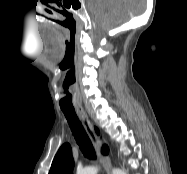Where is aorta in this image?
Instances as JSON below:
<instances>
[{"instance_id": "762f6f07", "label": "aorta", "mask_w": 187, "mask_h": 174, "mask_svg": "<svg viewBox=\"0 0 187 174\" xmlns=\"http://www.w3.org/2000/svg\"><path fill=\"white\" fill-rule=\"evenodd\" d=\"M97 173H98V168L94 166L85 167L77 171V174H97ZM112 174H126V173L124 170L114 168L112 171Z\"/></svg>"}]
</instances>
